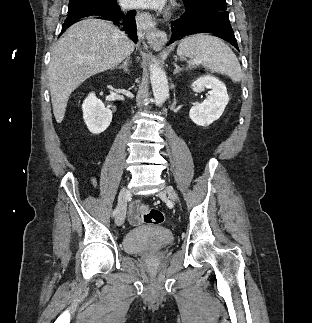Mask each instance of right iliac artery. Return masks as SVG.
I'll list each match as a JSON object with an SVG mask.
<instances>
[{
  "label": "right iliac artery",
  "mask_w": 312,
  "mask_h": 323,
  "mask_svg": "<svg viewBox=\"0 0 312 323\" xmlns=\"http://www.w3.org/2000/svg\"><path fill=\"white\" fill-rule=\"evenodd\" d=\"M117 213V209L114 211V215Z\"/></svg>",
  "instance_id": "82829eb1"
}]
</instances>
